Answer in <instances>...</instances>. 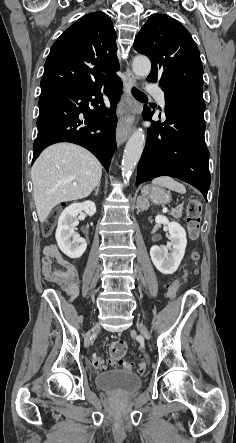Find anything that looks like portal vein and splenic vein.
<instances>
[{
  "label": "portal vein and splenic vein",
  "instance_id": "obj_1",
  "mask_svg": "<svg viewBox=\"0 0 236 443\" xmlns=\"http://www.w3.org/2000/svg\"><path fill=\"white\" fill-rule=\"evenodd\" d=\"M168 210H167V208H164L163 209V213H166Z\"/></svg>",
  "mask_w": 236,
  "mask_h": 443
}]
</instances>
